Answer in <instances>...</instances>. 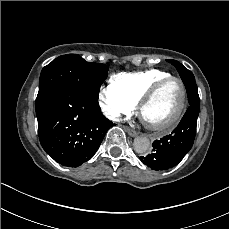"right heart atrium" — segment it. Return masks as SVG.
<instances>
[{"mask_svg":"<svg viewBox=\"0 0 229 229\" xmlns=\"http://www.w3.org/2000/svg\"><path fill=\"white\" fill-rule=\"evenodd\" d=\"M98 104L106 117L113 121L121 114L128 115L137 109V101L126 95L114 81L100 88Z\"/></svg>","mask_w":229,"mask_h":229,"instance_id":"right-heart-atrium-1","label":"right heart atrium"}]
</instances>
